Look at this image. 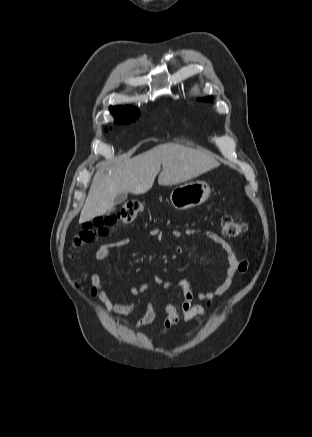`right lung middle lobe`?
Returning a JSON list of instances; mask_svg holds the SVG:
<instances>
[{
    "mask_svg": "<svg viewBox=\"0 0 312 437\" xmlns=\"http://www.w3.org/2000/svg\"><path fill=\"white\" fill-rule=\"evenodd\" d=\"M136 119H137V117L130 118V119H124V120H115V123H118V124H127V123H130L132 121H135Z\"/></svg>",
    "mask_w": 312,
    "mask_h": 437,
    "instance_id": "right-lung-middle-lobe-1",
    "label": "right lung middle lobe"
}]
</instances>
